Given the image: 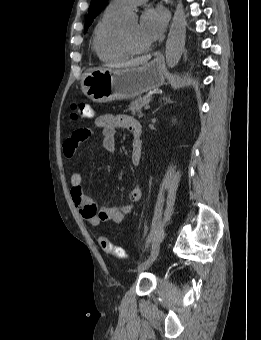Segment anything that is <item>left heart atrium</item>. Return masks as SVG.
I'll use <instances>...</instances> for the list:
<instances>
[{"label": "left heart atrium", "instance_id": "obj_1", "mask_svg": "<svg viewBox=\"0 0 261 340\" xmlns=\"http://www.w3.org/2000/svg\"><path fill=\"white\" fill-rule=\"evenodd\" d=\"M167 20V12L161 7H149L144 10L138 26L141 36L148 45H151L162 36Z\"/></svg>", "mask_w": 261, "mask_h": 340}]
</instances>
